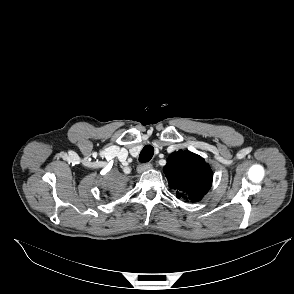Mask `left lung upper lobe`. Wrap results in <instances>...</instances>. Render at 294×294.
<instances>
[{
  "label": "left lung upper lobe",
  "instance_id": "1",
  "mask_svg": "<svg viewBox=\"0 0 294 294\" xmlns=\"http://www.w3.org/2000/svg\"><path fill=\"white\" fill-rule=\"evenodd\" d=\"M169 186L177 197L198 202L212 184V170L205 160L192 152L178 151L171 154L164 166Z\"/></svg>",
  "mask_w": 294,
  "mask_h": 294
}]
</instances>
